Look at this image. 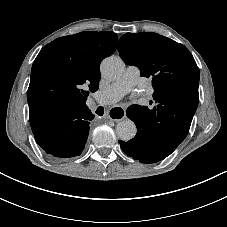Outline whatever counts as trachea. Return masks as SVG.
Masks as SVG:
<instances>
[{"label": "trachea", "instance_id": "1", "mask_svg": "<svg viewBox=\"0 0 227 227\" xmlns=\"http://www.w3.org/2000/svg\"><path fill=\"white\" fill-rule=\"evenodd\" d=\"M97 111H99V112H97V114L100 115V116H102L103 113H104V109H103V107H101V106L98 107Z\"/></svg>", "mask_w": 227, "mask_h": 227}]
</instances>
